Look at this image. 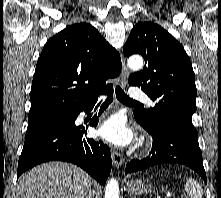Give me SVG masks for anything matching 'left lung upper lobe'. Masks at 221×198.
I'll list each match as a JSON object with an SVG mask.
<instances>
[{
  "label": "left lung upper lobe",
  "mask_w": 221,
  "mask_h": 198,
  "mask_svg": "<svg viewBox=\"0 0 221 198\" xmlns=\"http://www.w3.org/2000/svg\"><path fill=\"white\" fill-rule=\"evenodd\" d=\"M123 52L144 57L143 70L131 74L129 85L141 87L156 102L153 108L134 111V116L149 126L197 132L192 124L195 75L183 46L156 23L140 22L133 27Z\"/></svg>",
  "instance_id": "left-lung-upper-lobe-1"
}]
</instances>
